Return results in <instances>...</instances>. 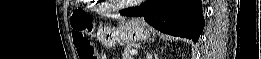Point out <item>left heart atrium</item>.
Here are the masks:
<instances>
[{
    "mask_svg": "<svg viewBox=\"0 0 261 59\" xmlns=\"http://www.w3.org/2000/svg\"><path fill=\"white\" fill-rule=\"evenodd\" d=\"M142 0H127L126 2L127 3H139L141 2Z\"/></svg>",
    "mask_w": 261,
    "mask_h": 59,
    "instance_id": "obj_1",
    "label": "left heart atrium"
}]
</instances>
